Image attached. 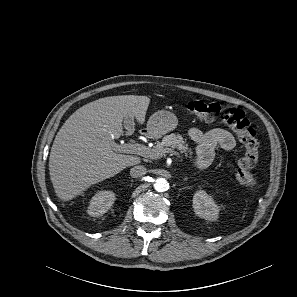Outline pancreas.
<instances>
[{
  "mask_svg": "<svg viewBox=\"0 0 297 297\" xmlns=\"http://www.w3.org/2000/svg\"><path fill=\"white\" fill-rule=\"evenodd\" d=\"M174 149H177L186 155L188 153L192 155V150L188 147V144L180 134L171 133L166 135L161 142H158L157 145L154 146V151L158 155L157 158L164 156L166 153L173 152Z\"/></svg>",
  "mask_w": 297,
  "mask_h": 297,
  "instance_id": "pancreas-1",
  "label": "pancreas"
}]
</instances>
